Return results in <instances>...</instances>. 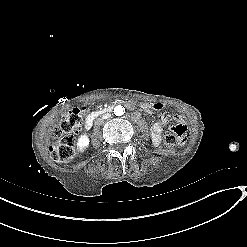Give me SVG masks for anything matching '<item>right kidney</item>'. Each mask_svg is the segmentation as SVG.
I'll list each match as a JSON object with an SVG mask.
<instances>
[{
	"label": "right kidney",
	"mask_w": 247,
	"mask_h": 247,
	"mask_svg": "<svg viewBox=\"0 0 247 247\" xmlns=\"http://www.w3.org/2000/svg\"><path fill=\"white\" fill-rule=\"evenodd\" d=\"M90 144V139L87 134H82L78 137L76 141V151L79 153H84Z\"/></svg>",
	"instance_id": "right-kidney-1"
}]
</instances>
